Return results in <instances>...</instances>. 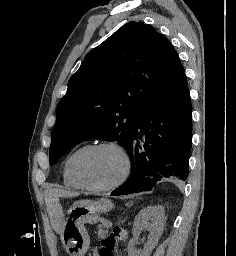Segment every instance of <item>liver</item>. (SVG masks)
Masks as SVG:
<instances>
[{
    "label": "liver",
    "instance_id": "liver-1",
    "mask_svg": "<svg viewBox=\"0 0 236 256\" xmlns=\"http://www.w3.org/2000/svg\"><path fill=\"white\" fill-rule=\"evenodd\" d=\"M66 196H72V198H75V196H79V192H65ZM61 196L59 190H46L45 192V202L48 210L49 216L51 218H54L56 216V212L60 206L58 204L57 198Z\"/></svg>",
    "mask_w": 236,
    "mask_h": 256
}]
</instances>
